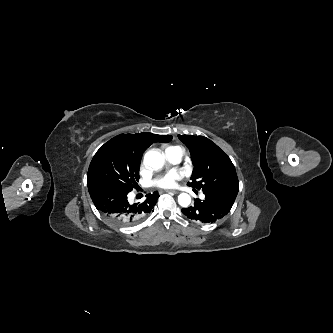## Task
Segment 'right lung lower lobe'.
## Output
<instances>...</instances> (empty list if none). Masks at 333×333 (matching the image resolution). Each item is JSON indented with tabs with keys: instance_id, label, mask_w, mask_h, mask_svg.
<instances>
[{
	"instance_id": "obj_1",
	"label": "right lung lower lobe",
	"mask_w": 333,
	"mask_h": 333,
	"mask_svg": "<svg viewBox=\"0 0 333 333\" xmlns=\"http://www.w3.org/2000/svg\"><path fill=\"white\" fill-rule=\"evenodd\" d=\"M87 185L97 210L123 227L135 225L147 217L159 197L158 192H154L148 194L144 202L130 204L127 200L129 190L104 181H92Z\"/></svg>"
}]
</instances>
